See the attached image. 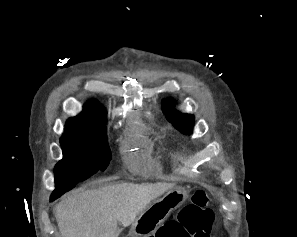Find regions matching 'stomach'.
<instances>
[{"mask_svg":"<svg viewBox=\"0 0 297 237\" xmlns=\"http://www.w3.org/2000/svg\"><path fill=\"white\" fill-rule=\"evenodd\" d=\"M187 198V192L180 187L169 190L164 196L149 204L132 223V237L153 236L169 214L179 208Z\"/></svg>","mask_w":297,"mask_h":237,"instance_id":"1","label":"stomach"}]
</instances>
